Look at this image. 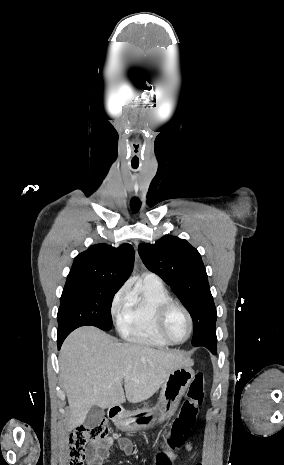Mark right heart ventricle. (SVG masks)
Segmentation results:
<instances>
[{
    "instance_id": "right-heart-ventricle-1",
    "label": "right heart ventricle",
    "mask_w": 284,
    "mask_h": 465,
    "mask_svg": "<svg viewBox=\"0 0 284 465\" xmlns=\"http://www.w3.org/2000/svg\"><path fill=\"white\" fill-rule=\"evenodd\" d=\"M173 298L162 281L144 279L138 293L119 311L116 327L133 346H169L156 329L160 308Z\"/></svg>"
}]
</instances>
